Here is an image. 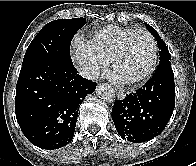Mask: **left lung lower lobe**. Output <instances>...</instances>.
Segmentation results:
<instances>
[{"instance_id":"left-lung-lower-lobe-1","label":"left lung lower lobe","mask_w":196,"mask_h":166,"mask_svg":"<svg viewBox=\"0 0 196 166\" xmlns=\"http://www.w3.org/2000/svg\"><path fill=\"white\" fill-rule=\"evenodd\" d=\"M174 107V74L171 62L164 61L143 88L114 103L112 119L122 138L140 143L164 130Z\"/></svg>"}]
</instances>
